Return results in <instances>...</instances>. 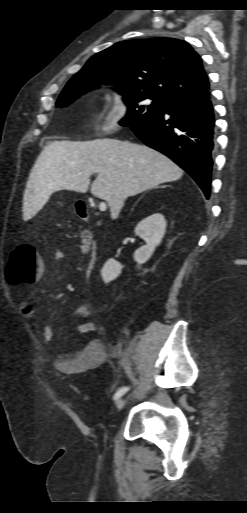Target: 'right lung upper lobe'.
I'll list each match as a JSON object with an SVG mask.
<instances>
[{"mask_svg":"<svg viewBox=\"0 0 247 513\" xmlns=\"http://www.w3.org/2000/svg\"><path fill=\"white\" fill-rule=\"evenodd\" d=\"M71 79L119 83L165 103L209 95L202 59L189 44L174 38L118 42L91 57Z\"/></svg>","mask_w":247,"mask_h":513,"instance_id":"cb5924a9","label":"right lung upper lobe"}]
</instances>
